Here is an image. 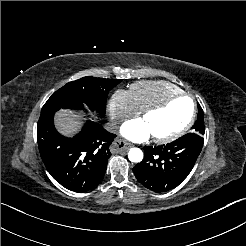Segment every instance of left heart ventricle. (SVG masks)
<instances>
[{
  "label": "left heart ventricle",
  "instance_id": "left-heart-ventricle-1",
  "mask_svg": "<svg viewBox=\"0 0 246 246\" xmlns=\"http://www.w3.org/2000/svg\"><path fill=\"white\" fill-rule=\"evenodd\" d=\"M191 112L187 98H179L164 109L150 113L143 119L152 136H166L179 129Z\"/></svg>",
  "mask_w": 246,
  "mask_h": 246
}]
</instances>
